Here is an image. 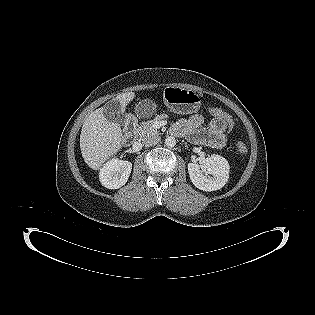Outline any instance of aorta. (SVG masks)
I'll return each mask as SVG.
<instances>
[{
  "mask_svg": "<svg viewBox=\"0 0 315 315\" xmlns=\"http://www.w3.org/2000/svg\"><path fill=\"white\" fill-rule=\"evenodd\" d=\"M165 145L167 147H174L176 145V140L174 137L172 136H168L166 139H165Z\"/></svg>",
  "mask_w": 315,
  "mask_h": 315,
  "instance_id": "obj_1",
  "label": "aorta"
}]
</instances>
